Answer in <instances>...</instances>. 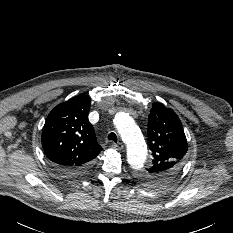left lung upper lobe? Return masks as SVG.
<instances>
[{
	"label": "left lung upper lobe",
	"instance_id": "5c2ea615",
	"mask_svg": "<svg viewBox=\"0 0 233 233\" xmlns=\"http://www.w3.org/2000/svg\"><path fill=\"white\" fill-rule=\"evenodd\" d=\"M148 142L153 160L142 178L152 184L168 181L181 169L188 145L176 113L158 102L149 115Z\"/></svg>",
	"mask_w": 233,
	"mask_h": 233
}]
</instances>
